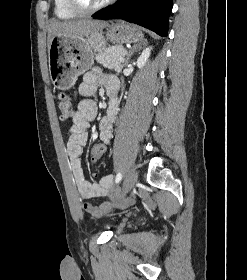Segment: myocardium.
Instances as JSON below:
<instances>
[{
	"label": "myocardium",
	"mask_w": 247,
	"mask_h": 280,
	"mask_svg": "<svg viewBox=\"0 0 247 280\" xmlns=\"http://www.w3.org/2000/svg\"><path fill=\"white\" fill-rule=\"evenodd\" d=\"M114 0H104L102 3L94 7H86L82 5L79 0H67L69 8L77 14H92L100 11L110 5Z\"/></svg>",
	"instance_id": "myocardium-1"
}]
</instances>
